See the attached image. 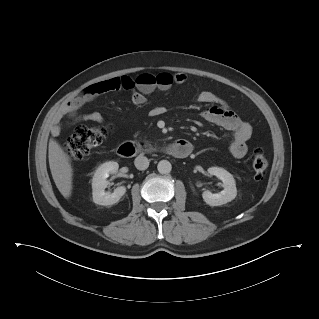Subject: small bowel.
<instances>
[{"mask_svg":"<svg viewBox=\"0 0 319 319\" xmlns=\"http://www.w3.org/2000/svg\"><path fill=\"white\" fill-rule=\"evenodd\" d=\"M127 76H115L101 80L83 89L78 95L70 99L61 108L57 119L51 128V134L57 136L61 130V122L64 117L76 118L82 121H90L102 123L104 118L99 112H91L84 115H77V112L87 102L92 101L100 95L121 89V85L129 80ZM186 81L183 73L169 74L161 73L159 84L149 89H133L131 91V100L135 105H143L146 103V96L155 90H167L172 84L181 85ZM199 103L211 104L202 111L201 117L210 123L223 127L232 133V142L228 151L232 158L241 159L247 154V141L251 137V125L240 119L237 114L228 106V104L209 91H201L196 96ZM163 113L161 107L157 106L151 110V114L156 116Z\"/></svg>","mask_w":319,"mask_h":319,"instance_id":"small-bowel-1","label":"small bowel"}]
</instances>
